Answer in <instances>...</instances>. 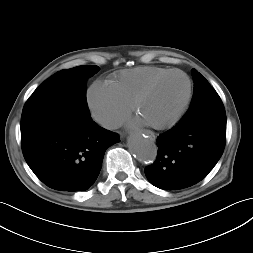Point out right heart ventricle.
I'll use <instances>...</instances> for the list:
<instances>
[{
	"label": "right heart ventricle",
	"instance_id": "e07e8e85",
	"mask_svg": "<svg viewBox=\"0 0 253 253\" xmlns=\"http://www.w3.org/2000/svg\"><path fill=\"white\" fill-rule=\"evenodd\" d=\"M169 70L156 66H140L127 69L114 75L109 80V84L127 105L132 106L137 94L150 81Z\"/></svg>",
	"mask_w": 253,
	"mask_h": 253
}]
</instances>
